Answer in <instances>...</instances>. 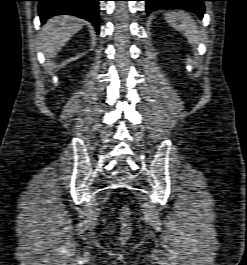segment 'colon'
Masks as SVG:
<instances>
[{
  "mask_svg": "<svg viewBox=\"0 0 247 265\" xmlns=\"http://www.w3.org/2000/svg\"><path fill=\"white\" fill-rule=\"evenodd\" d=\"M120 220H121L120 241L124 243L130 238L132 233V220L128 208L123 207L121 209Z\"/></svg>",
  "mask_w": 247,
  "mask_h": 265,
  "instance_id": "colon-1",
  "label": "colon"
}]
</instances>
